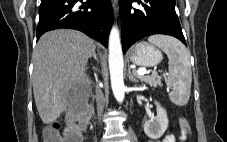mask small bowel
I'll return each instance as SVG.
<instances>
[{
	"label": "small bowel",
	"mask_w": 227,
	"mask_h": 142,
	"mask_svg": "<svg viewBox=\"0 0 227 142\" xmlns=\"http://www.w3.org/2000/svg\"><path fill=\"white\" fill-rule=\"evenodd\" d=\"M180 140H183V137H179ZM148 142H153V141H148ZM157 142H176V137L173 134H167L164 136L163 139L157 141Z\"/></svg>",
	"instance_id": "1"
}]
</instances>
